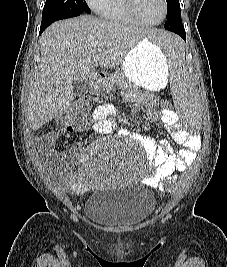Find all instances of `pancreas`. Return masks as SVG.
I'll return each instance as SVG.
<instances>
[{"label": "pancreas", "mask_w": 227, "mask_h": 267, "mask_svg": "<svg viewBox=\"0 0 227 267\" xmlns=\"http://www.w3.org/2000/svg\"><path fill=\"white\" fill-rule=\"evenodd\" d=\"M129 82L122 73L114 72L109 75L105 80V89L111 90L115 85L126 86Z\"/></svg>", "instance_id": "obj_1"}]
</instances>
